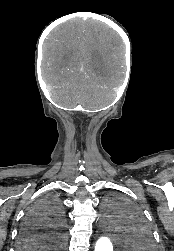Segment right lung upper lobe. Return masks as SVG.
<instances>
[{
    "mask_svg": "<svg viewBox=\"0 0 174 251\" xmlns=\"http://www.w3.org/2000/svg\"><path fill=\"white\" fill-rule=\"evenodd\" d=\"M48 247V242L44 239H40L39 243L37 245H27V246H21V249L29 248V249H40V250H45V248Z\"/></svg>",
    "mask_w": 174,
    "mask_h": 251,
    "instance_id": "cb5924a9",
    "label": "right lung upper lobe"
}]
</instances>
